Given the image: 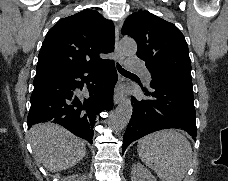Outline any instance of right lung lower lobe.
<instances>
[{
  "instance_id": "right-lung-lower-lobe-1",
  "label": "right lung lower lobe",
  "mask_w": 228,
  "mask_h": 181,
  "mask_svg": "<svg viewBox=\"0 0 228 181\" xmlns=\"http://www.w3.org/2000/svg\"><path fill=\"white\" fill-rule=\"evenodd\" d=\"M116 82L114 61L108 59L35 77L28 129L52 121L92 144L97 115L113 107Z\"/></svg>"
}]
</instances>
